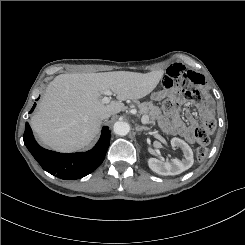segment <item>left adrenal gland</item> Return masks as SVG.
<instances>
[{
	"instance_id": "obj_1",
	"label": "left adrenal gland",
	"mask_w": 245,
	"mask_h": 245,
	"mask_svg": "<svg viewBox=\"0 0 245 245\" xmlns=\"http://www.w3.org/2000/svg\"><path fill=\"white\" fill-rule=\"evenodd\" d=\"M135 129L138 132H142L143 130L144 131H149L150 130L148 127H145V126H136Z\"/></svg>"
}]
</instances>
